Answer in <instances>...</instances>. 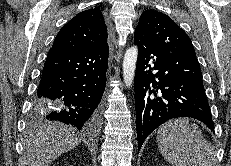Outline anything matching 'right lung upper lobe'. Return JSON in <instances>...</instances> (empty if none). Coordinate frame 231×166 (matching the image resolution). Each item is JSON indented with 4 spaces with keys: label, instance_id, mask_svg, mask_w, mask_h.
Instances as JSON below:
<instances>
[{
    "label": "right lung upper lobe",
    "instance_id": "obj_1",
    "mask_svg": "<svg viewBox=\"0 0 231 166\" xmlns=\"http://www.w3.org/2000/svg\"><path fill=\"white\" fill-rule=\"evenodd\" d=\"M107 25L98 8L78 13L57 34L52 48L92 51L107 45Z\"/></svg>",
    "mask_w": 231,
    "mask_h": 166
}]
</instances>
